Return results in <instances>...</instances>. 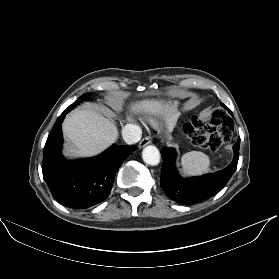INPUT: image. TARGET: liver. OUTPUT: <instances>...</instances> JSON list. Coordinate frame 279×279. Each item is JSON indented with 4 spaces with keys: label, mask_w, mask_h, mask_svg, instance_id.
Wrapping results in <instances>:
<instances>
[{
    "label": "liver",
    "mask_w": 279,
    "mask_h": 279,
    "mask_svg": "<svg viewBox=\"0 0 279 279\" xmlns=\"http://www.w3.org/2000/svg\"><path fill=\"white\" fill-rule=\"evenodd\" d=\"M133 112L162 115L171 128L179 115L178 102L142 100L131 106ZM101 107L79 109L71 113L63 123V132L71 141L64 154L69 158L92 157L107 149L117 140L118 130L113 121L102 115Z\"/></svg>",
    "instance_id": "1"
}]
</instances>
